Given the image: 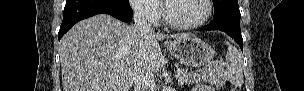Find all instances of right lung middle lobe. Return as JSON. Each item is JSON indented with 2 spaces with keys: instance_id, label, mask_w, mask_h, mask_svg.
<instances>
[{
  "instance_id": "dd1d6c3e",
  "label": "right lung middle lobe",
  "mask_w": 304,
  "mask_h": 91,
  "mask_svg": "<svg viewBox=\"0 0 304 91\" xmlns=\"http://www.w3.org/2000/svg\"><path fill=\"white\" fill-rule=\"evenodd\" d=\"M114 3L118 6H125V7L130 6L128 0H115Z\"/></svg>"
}]
</instances>
